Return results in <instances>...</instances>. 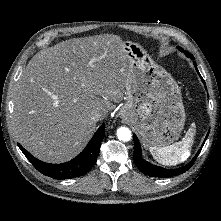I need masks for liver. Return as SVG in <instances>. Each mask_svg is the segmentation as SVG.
Returning <instances> with one entry per match:
<instances>
[{
    "instance_id": "6515ba94",
    "label": "liver",
    "mask_w": 221,
    "mask_h": 221,
    "mask_svg": "<svg viewBox=\"0 0 221 221\" xmlns=\"http://www.w3.org/2000/svg\"><path fill=\"white\" fill-rule=\"evenodd\" d=\"M124 41L102 34L62 41L33 56L14 94L12 126L19 143L36 158L63 163L77 156L120 102L129 74Z\"/></svg>"
}]
</instances>
